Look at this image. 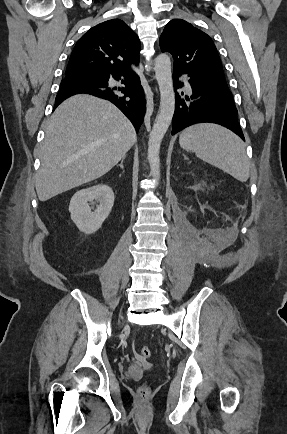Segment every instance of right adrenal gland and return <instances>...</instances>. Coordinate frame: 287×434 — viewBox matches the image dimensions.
<instances>
[{
    "label": "right adrenal gland",
    "mask_w": 287,
    "mask_h": 434,
    "mask_svg": "<svg viewBox=\"0 0 287 434\" xmlns=\"http://www.w3.org/2000/svg\"><path fill=\"white\" fill-rule=\"evenodd\" d=\"M123 161H124V158L121 160V163L119 164V166H120L122 169H124V167H123Z\"/></svg>",
    "instance_id": "2a0ac1e0"
}]
</instances>
